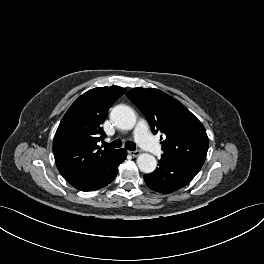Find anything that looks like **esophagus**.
<instances>
[{
    "label": "esophagus",
    "instance_id": "1",
    "mask_svg": "<svg viewBox=\"0 0 264 264\" xmlns=\"http://www.w3.org/2000/svg\"><path fill=\"white\" fill-rule=\"evenodd\" d=\"M128 153L133 156V157H137L140 154V151L135 150V151H128Z\"/></svg>",
    "mask_w": 264,
    "mask_h": 264
}]
</instances>
